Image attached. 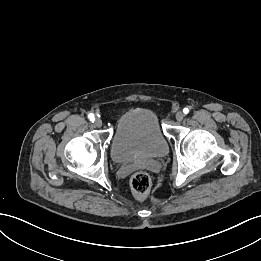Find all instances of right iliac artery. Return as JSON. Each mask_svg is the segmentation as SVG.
Wrapping results in <instances>:
<instances>
[{
    "mask_svg": "<svg viewBox=\"0 0 261 261\" xmlns=\"http://www.w3.org/2000/svg\"><path fill=\"white\" fill-rule=\"evenodd\" d=\"M89 120L93 123L95 121V117L92 113L88 115Z\"/></svg>",
    "mask_w": 261,
    "mask_h": 261,
    "instance_id": "1",
    "label": "right iliac artery"
}]
</instances>
